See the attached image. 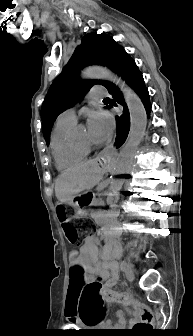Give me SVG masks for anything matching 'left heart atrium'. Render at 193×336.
I'll list each match as a JSON object with an SVG mask.
<instances>
[{
    "label": "left heart atrium",
    "mask_w": 193,
    "mask_h": 336,
    "mask_svg": "<svg viewBox=\"0 0 193 336\" xmlns=\"http://www.w3.org/2000/svg\"><path fill=\"white\" fill-rule=\"evenodd\" d=\"M87 129L91 140L95 143L105 141L112 132L113 120L104 111H95L89 115Z\"/></svg>",
    "instance_id": "left-heart-atrium-1"
}]
</instances>
